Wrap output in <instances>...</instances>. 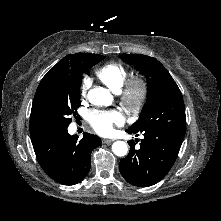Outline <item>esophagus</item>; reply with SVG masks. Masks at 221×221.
<instances>
[{"label": "esophagus", "instance_id": "obj_1", "mask_svg": "<svg viewBox=\"0 0 221 221\" xmlns=\"http://www.w3.org/2000/svg\"><path fill=\"white\" fill-rule=\"evenodd\" d=\"M102 142L105 144H111L113 142V140L111 139H102Z\"/></svg>", "mask_w": 221, "mask_h": 221}]
</instances>
